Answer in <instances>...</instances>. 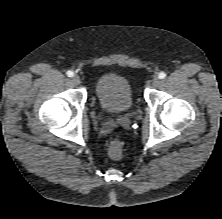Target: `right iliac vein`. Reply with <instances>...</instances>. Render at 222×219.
I'll return each mask as SVG.
<instances>
[{"mask_svg": "<svg viewBox=\"0 0 222 219\" xmlns=\"http://www.w3.org/2000/svg\"><path fill=\"white\" fill-rule=\"evenodd\" d=\"M72 82H73V84H75V85H79L80 82H81V79H80V77H79L78 75H74V76L72 77Z\"/></svg>", "mask_w": 222, "mask_h": 219, "instance_id": "obj_1", "label": "right iliac vein"}]
</instances>
